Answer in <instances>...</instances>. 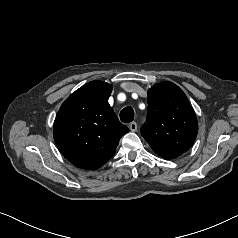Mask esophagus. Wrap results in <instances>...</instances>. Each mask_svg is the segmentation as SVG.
I'll use <instances>...</instances> for the list:
<instances>
[{
	"label": "esophagus",
	"mask_w": 238,
	"mask_h": 238,
	"mask_svg": "<svg viewBox=\"0 0 238 238\" xmlns=\"http://www.w3.org/2000/svg\"><path fill=\"white\" fill-rule=\"evenodd\" d=\"M129 129H130L132 132L137 131V123H136V122H131V123L129 124Z\"/></svg>",
	"instance_id": "1"
}]
</instances>
